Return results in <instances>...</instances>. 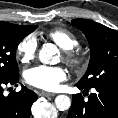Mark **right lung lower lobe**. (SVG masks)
I'll return each mask as SVG.
<instances>
[{
	"instance_id": "right-lung-lower-lobe-1",
	"label": "right lung lower lobe",
	"mask_w": 118,
	"mask_h": 118,
	"mask_svg": "<svg viewBox=\"0 0 118 118\" xmlns=\"http://www.w3.org/2000/svg\"><path fill=\"white\" fill-rule=\"evenodd\" d=\"M19 75L10 79L0 81V118H29L31 106L38 98L32 90L22 86L19 92H12L8 96L3 94L5 85H16Z\"/></svg>"
}]
</instances>
